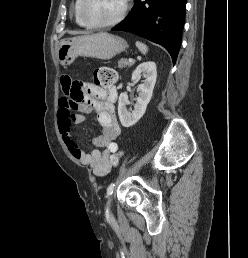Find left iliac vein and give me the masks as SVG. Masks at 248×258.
<instances>
[{"mask_svg":"<svg viewBox=\"0 0 248 258\" xmlns=\"http://www.w3.org/2000/svg\"><path fill=\"white\" fill-rule=\"evenodd\" d=\"M111 202H112V196H110L109 199H108V201H107V208H108V209H110Z\"/></svg>","mask_w":248,"mask_h":258,"instance_id":"obj_1","label":"left iliac vein"}]
</instances>
